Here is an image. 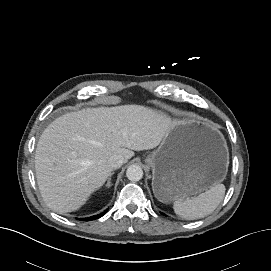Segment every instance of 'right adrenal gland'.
I'll list each match as a JSON object with an SVG mask.
<instances>
[{"label": "right adrenal gland", "instance_id": "2a0ac1e0", "mask_svg": "<svg viewBox=\"0 0 271 271\" xmlns=\"http://www.w3.org/2000/svg\"><path fill=\"white\" fill-rule=\"evenodd\" d=\"M114 174V172H112L111 174H110V176H109V179H108V182H107V184H106V187H110L111 186V176Z\"/></svg>", "mask_w": 271, "mask_h": 271}]
</instances>
